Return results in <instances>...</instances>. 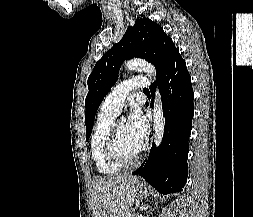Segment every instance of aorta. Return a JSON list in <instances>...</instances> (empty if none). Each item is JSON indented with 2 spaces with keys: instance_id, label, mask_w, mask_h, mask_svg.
<instances>
[{
  "instance_id": "obj_1",
  "label": "aorta",
  "mask_w": 253,
  "mask_h": 217,
  "mask_svg": "<svg viewBox=\"0 0 253 217\" xmlns=\"http://www.w3.org/2000/svg\"><path fill=\"white\" fill-rule=\"evenodd\" d=\"M125 69L128 71H139L146 73L149 76L155 77L156 70L154 66L145 60H129L124 65ZM153 128H154V138L156 146H159L165 129V118L162 109L161 96L158 91H156L154 106H153Z\"/></svg>"
}]
</instances>
